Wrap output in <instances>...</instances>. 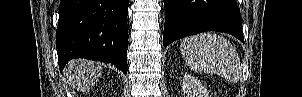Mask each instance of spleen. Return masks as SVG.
<instances>
[{
    "label": "spleen",
    "mask_w": 302,
    "mask_h": 97,
    "mask_svg": "<svg viewBox=\"0 0 302 97\" xmlns=\"http://www.w3.org/2000/svg\"><path fill=\"white\" fill-rule=\"evenodd\" d=\"M187 66L195 72L217 74L228 82L240 79V58L232 44L220 35L200 33L180 45Z\"/></svg>",
    "instance_id": "1"
}]
</instances>
